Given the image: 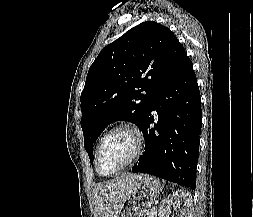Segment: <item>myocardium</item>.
I'll list each match as a JSON object with an SVG mask.
<instances>
[{"instance_id":"myocardium-1","label":"myocardium","mask_w":253,"mask_h":217,"mask_svg":"<svg viewBox=\"0 0 253 217\" xmlns=\"http://www.w3.org/2000/svg\"><path fill=\"white\" fill-rule=\"evenodd\" d=\"M119 131H123L128 133L133 141H134V151L133 154L131 155V157L128 159V161L126 163H124L120 168H118L116 171L110 173V174H104L100 171L99 169V153H100V149L103 145V143L105 142V140L110 137L112 134L119 132ZM144 150V139H143V135L140 132V130L138 128H136L135 126L129 125V124H118L115 125L114 127H112L110 130H108L99 140L97 146H96V150H95V155H94V163H95V169L97 171V173L103 177H111V176H115L117 174H119L120 172H122L123 170L127 169L129 166H131L133 163H135L140 156L142 155Z\"/></svg>"}]
</instances>
